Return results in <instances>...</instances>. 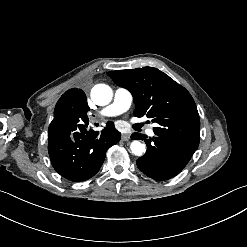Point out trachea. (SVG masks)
<instances>
[{"mask_svg":"<svg viewBox=\"0 0 247 247\" xmlns=\"http://www.w3.org/2000/svg\"><path fill=\"white\" fill-rule=\"evenodd\" d=\"M143 125H144L143 123H137V124H134L132 127L133 129L139 131Z\"/></svg>","mask_w":247,"mask_h":247,"instance_id":"3493384b","label":"trachea"}]
</instances>
